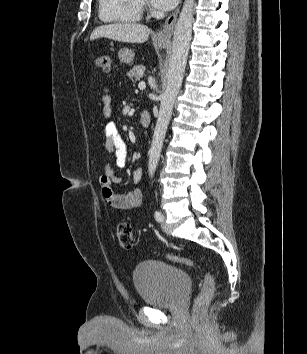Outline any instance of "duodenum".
Here are the masks:
<instances>
[{
    "label": "duodenum",
    "mask_w": 307,
    "mask_h": 354,
    "mask_svg": "<svg viewBox=\"0 0 307 354\" xmlns=\"http://www.w3.org/2000/svg\"><path fill=\"white\" fill-rule=\"evenodd\" d=\"M151 113L149 111H143L140 116V123L143 127H148L151 123Z\"/></svg>",
    "instance_id": "1"
}]
</instances>
